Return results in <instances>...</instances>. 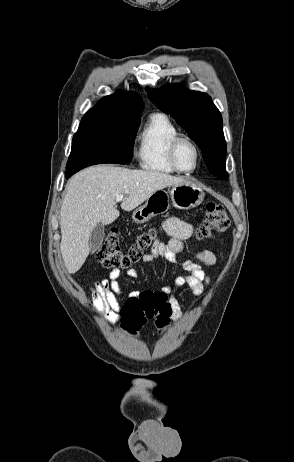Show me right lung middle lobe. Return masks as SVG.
I'll return each mask as SVG.
<instances>
[{
	"label": "right lung middle lobe",
	"mask_w": 294,
	"mask_h": 462,
	"mask_svg": "<svg viewBox=\"0 0 294 462\" xmlns=\"http://www.w3.org/2000/svg\"><path fill=\"white\" fill-rule=\"evenodd\" d=\"M140 118L141 115L86 113L72 140L66 175L95 164L128 163Z\"/></svg>",
	"instance_id": "dd1d6c3e"
}]
</instances>
